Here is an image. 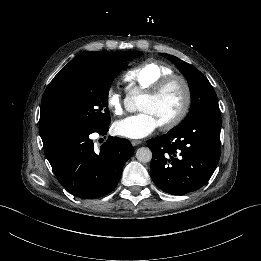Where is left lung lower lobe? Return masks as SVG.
Segmentation results:
<instances>
[{
	"label": "left lung lower lobe",
	"instance_id": "left-lung-lower-lobe-1",
	"mask_svg": "<svg viewBox=\"0 0 261 261\" xmlns=\"http://www.w3.org/2000/svg\"><path fill=\"white\" fill-rule=\"evenodd\" d=\"M221 116L201 115L147 141L152 150L150 175L155 185L172 195L203 187L219 161Z\"/></svg>",
	"mask_w": 261,
	"mask_h": 261
}]
</instances>
